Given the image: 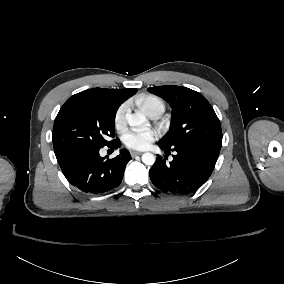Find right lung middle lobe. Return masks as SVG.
<instances>
[{"label":"right lung middle lobe","instance_id":"obj_1","mask_svg":"<svg viewBox=\"0 0 284 284\" xmlns=\"http://www.w3.org/2000/svg\"><path fill=\"white\" fill-rule=\"evenodd\" d=\"M117 108L87 93L71 96L57 114L52 134L56 155L84 148L104 147L110 144L106 136L115 135Z\"/></svg>","mask_w":284,"mask_h":284}]
</instances>
